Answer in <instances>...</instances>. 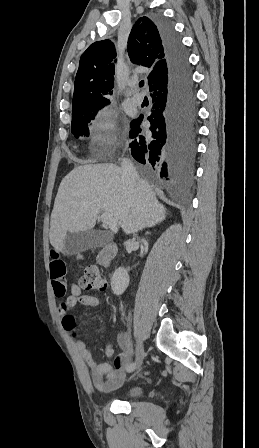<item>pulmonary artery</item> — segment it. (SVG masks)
I'll return each instance as SVG.
<instances>
[{
    "label": "pulmonary artery",
    "instance_id": "1",
    "mask_svg": "<svg viewBox=\"0 0 259 448\" xmlns=\"http://www.w3.org/2000/svg\"><path fill=\"white\" fill-rule=\"evenodd\" d=\"M138 86H139V82L137 80L133 81L131 84L132 88H137ZM130 100L133 101L134 103L141 104L143 98L140 95H134V96L130 97Z\"/></svg>",
    "mask_w": 259,
    "mask_h": 448
}]
</instances>
